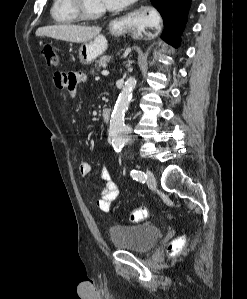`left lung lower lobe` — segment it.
<instances>
[{
	"mask_svg": "<svg viewBox=\"0 0 247 299\" xmlns=\"http://www.w3.org/2000/svg\"><path fill=\"white\" fill-rule=\"evenodd\" d=\"M159 11L164 21V31L161 36L174 47L179 46L180 37L188 15L191 0H150Z\"/></svg>",
	"mask_w": 247,
	"mask_h": 299,
	"instance_id": "obj_1",
	"label": "left lung lower lobe"
}]
</instances>
